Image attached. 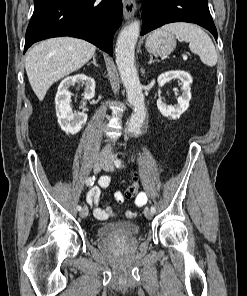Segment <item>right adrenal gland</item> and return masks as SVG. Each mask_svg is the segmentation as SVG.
Wrapping results in <instances>:
<instances>
[{
  "label": "right adrenal gland",
  "instance_id": "2a0ac1e0",
  "mask_svg": "<svg viewBox=\"0 0 247 296\" xmlns=\"http://www.w3.org/2000/svg\"><path fill=\"white\" fill-rule=\"evenodd\" d=\"M91 64H94L96 67H98V64L96 63V55L93 56V60L90 63H88V66Z\"/></svg>",
  "mask_w": 247,
  "mask_h": 296
}]
</instances>
